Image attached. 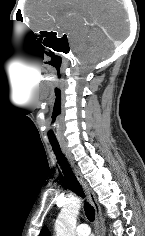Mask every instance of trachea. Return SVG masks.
Listing matches in <instances>:
<instances>
[{
    "instance_id": "obj_1",
    "label": "trachea",
    "mask_w": 145,
    "mask_h": 236,
    "mask_svg": "<svg viewBox=\"0 0 145 236\" xmlns=\"http://www.w3.org/2000/svg\"><path fill=\"white\" fill-rule=\"evenodd\" d=\"M52 149L54 154L56 155L57 161L62 169L64 174L65 181L67 182L68 186L75 192L77 195L84 197V192L82 187L80 186L76 176L74 175L69 163L67 162L65 156L63 155L59 143L58 142H51ZM84 210L87 218L92 222L95 219V210L94 208L85 201L84 203Z\"/></svg>"
}]
</instances>
